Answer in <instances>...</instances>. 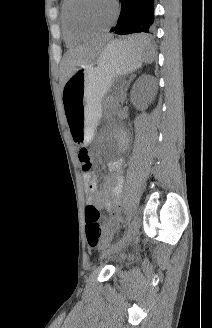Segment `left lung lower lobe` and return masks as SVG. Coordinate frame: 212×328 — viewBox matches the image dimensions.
<instances>
[{
    "label": "left lung lower lobe",
    "instance_id": "obj_1",
    "mask_svg": "<svg viewBox=\"0 0 212 328\" xmlns=\"http://www.w3.org/2000/svg\"><path fill=\"white\" fill-rule=\"evenodd\" d=\"M121 13L117 25L110 30L117 34H131L138 32L149 33L154 21V0H120ZM149 40H142L130 44L131 48H147Z\"/></svg>",
    "mask_w": 212,
    "mask_h": 328
}]
</instances>
